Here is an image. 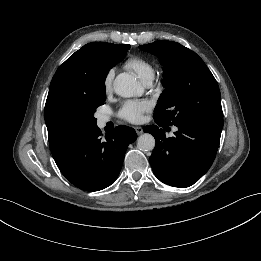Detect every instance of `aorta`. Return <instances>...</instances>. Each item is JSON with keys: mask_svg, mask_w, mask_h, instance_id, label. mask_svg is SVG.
I'll use <instances>...</instances> for the list:
<instances>
[{"mask_svg": "<svg viewBox=\"0 0 261 261\" xmlns=\"http://www.w3.org/2000/svg\"><path fill=\"white\" fill-rule=\"evenodd\" d=\"M113 88L116 94L121 97L129 98L143 94V87L137 78L130 73L119 74L114 82ZM137 147L142 151H151L155 147L153 135L144 133L137 139Z\"/></svg>", "mask_w": 261, "mask_h": 261, "instance_id": "1", "label": "aorta"}]
</instances>
